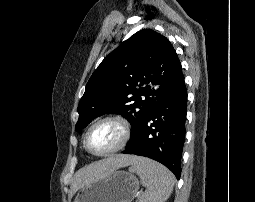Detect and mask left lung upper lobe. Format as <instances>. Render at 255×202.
<instances>
[{
    "instance_id": "obj_1",
    "label": "left lung upper lobe",
    "mask_w": 255,
    "mask_h": 202,
    "mask_svg": "<svg viewBox=\"0 0 255 202\" xmlns=\"http://www.w3.org/2000/svg\"><path fill=\"white\" fill-rule=\"evenodd\" d=\"M183 80L169 40L153 30H140L108 54L90 77L75 128L79 131L100 115L118 113L132 125L131 140L156 102Z\"/></svg>"
}]
</instances>
